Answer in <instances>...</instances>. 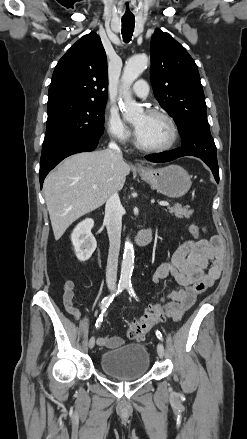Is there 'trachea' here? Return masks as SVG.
Here are the masks:
<instances>
[{
	"instance_id": "1",
	"label": "trachea",
	"mask_w": 247,
	"mask_h": 439,
	"mask_svg": "<svg viewBox=\"0 0 247 439\" xmlns=\"http://www.w3.org/2000/svg\"><path fill=\"white\" fill-rule=\"evenodd\" d=\"M135 19L133 16L122 18V36L124 42L128 43L133 35Z\"/></svg>"
}]
</instances>
